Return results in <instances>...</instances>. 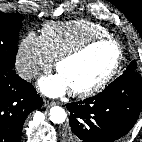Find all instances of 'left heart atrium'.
<instances>
[{"mask_svg":"<svg viewBox=\"0 0 142 142\" xmlns=\"http://www.w3.org/2000/svg\"><path fill=\"white\" fill-rule=\"evenodd\" d=\"M39 88L44 94L51 97L61 96L70 90L68 83L59 73L41 78Z\"/></svg>","mask_w":142,"mask_h":142,"instance_id":"39dd6f15","label":"left heart atrium"}]
</instances>
